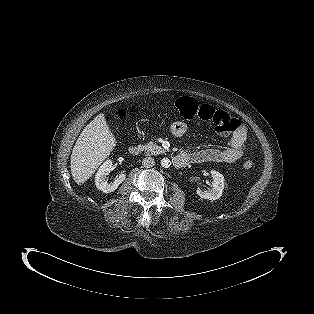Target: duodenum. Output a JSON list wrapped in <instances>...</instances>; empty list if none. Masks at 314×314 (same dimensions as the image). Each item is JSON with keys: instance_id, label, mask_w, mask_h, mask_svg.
Wrapping results in <instances>:
<instances>
[{"instance_id": "obj_1", "label": "duodenum", "mask_w": 314, "mask_h": 314, "mask_svg": "<svg viewBox=\"0 0 314 314\" xmlns=\"http://www.w3.org/2000/svg\"><path fill=\"white\" fill-rule=\"evenodd\" d=\"M142 151L140 145H132L129 147V153L131 155H138ZM188 160L184 155H177L173 158V164L176 168H183L186 166Z\"/></svg>"}]
</instances>
